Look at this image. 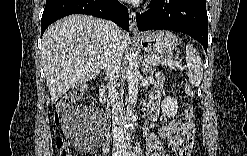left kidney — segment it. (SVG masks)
Listing matches in <instances>:
<instances>
[{
    "label": "left kidney",
    "instance_id": "1",
    "mask_svg": "<svg viewBox=\"0 0 247 156\" xmlns=\"http://www.w3.org/2000/svg\"><path fill=\"white\" fill-rule=\"evenodd\" d=\"M162 112L167 117H175L178 112V101L176 98L167 97L161 102Z\"/></svg>",
    "mask_w": 247,
    "mask_h": 156
}]
</instances>
